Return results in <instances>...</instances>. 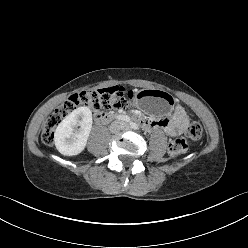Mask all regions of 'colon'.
I'll return each instance as SVG.
<instances>
[{
    "instance_id": "1",
    "label": "colon",
    "mask_w": 248,
    "mask_h": 248,
    "mask_svg": "<svg viewBox=\"0 0 248 248\" xmlns=\"http://www.w3.org/2000/svg\"><path fill=\"white\" fill-rule=\"evenodd\" d=\"M135 93L123 87L114 86L99 90H88L75 93L60 104L44 122L41 138L44 144L52 145L57 126L80 105L89 106L94 110L110 111L124 110L132 106ZM202 126L198 121L189 123L186 138H178L169 144L168 154L174 158L185 154L189 150L188 140H199L202 136Z\"/></svg>"
}]
</instances>
